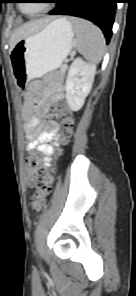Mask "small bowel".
I'll list each match as a JSON object with an SVG mask.
<instances>
[{
    "label": "small bowel",
    "mask_w": 136,
    "mask_h": 296,
    "mask_svg": "<svg viewBox=\"0 0 136 296\" xmlns=\"http://www.w3.org/2000/svg\"><path fill=\"white\" fill-rule=\"evenodd\" d=\"M47 100L41 105H33V97L26 94L23 107L24 132L28 140L27 150L43 154L45 165L48 166L54 148L59 145L60 125L56 119L43 120V112L50 103L59 104L65 98L64 87L55 84L43 93Z\"/></svg>",
    "instance_id": "obj_1"
}]
</instances>
